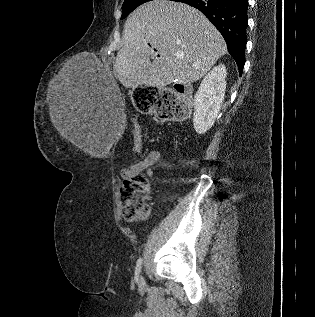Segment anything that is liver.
<instances>
[{
	"instance_id": "liver-1",
	"label": "liver",
	"mask_w": 315,
	"mask_h": 317,
	"mask_svg": "<svg viewBox=\"0 0 315 317\" xmlns=\"http://www.w3.org/2000/svg\"><path fill=\"white\" fill-rule=\"evenodd\" d=\"M226 52L223 37L200 11L183 3L153 0L128 16L115 74L126 88L187 85L202 78ZM150 57H155L152 63ZM64 81L51 98L50 118L64 138L83 148L81 118Z\"/></svg>"
}]
</instances>
